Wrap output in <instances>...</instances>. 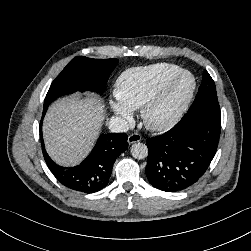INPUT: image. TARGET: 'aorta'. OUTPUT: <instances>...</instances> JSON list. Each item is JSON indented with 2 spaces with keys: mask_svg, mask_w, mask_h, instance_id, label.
<instances>
[{
  "mask_svg": "<svg viewBox=\"0 0 251 251\" xmlns=\"http://www.w3.org/2000/svg\"><path fill=\"white\" fill-rule=\"evenodd\" d=\"M131 154L136 159H144L148 155V148L143 143H134L131 147Z\"/></svg>",
  "mask_w": 251,
  "mask_h": 251,
  "instance_id": "762f6f07",
  "label": "aorta"
}]
</instances>
